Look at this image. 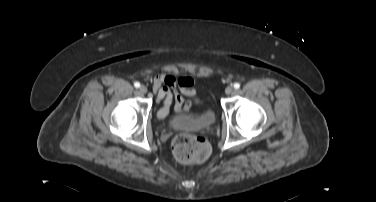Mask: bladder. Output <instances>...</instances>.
Here are the masks:
<instances>
[{
    "label": "bladder",
    "mask_w": 376,
    "mask_h": 202,
    "mask_svg": "<svg viewBox=\"0 0 376 202\" xmlns=\"http://www.w3.org/2000/svg\"><path fill=\"white\" fill-rule=\"evenodd\" d=\"M214 121V111L210 107L205 106L197 114H187L176 117L169 121V125L177 129L191 130L209 127Z\"/></svg>",
    "instance_id": "bladder-1"
}]
</instances>
